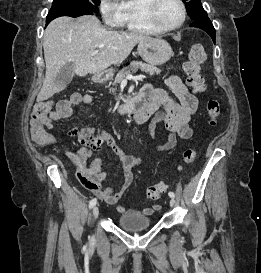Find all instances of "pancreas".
<instances>
[{
  "instance_id": "1",
  "label": "pancreas",
  "mask_w": 261,
  "mask_h": 273,
  "mask_svg": "<svg viewBox=\"0 0 261 273\" xmlns=\"http://www.w3.org/2000/svg\"><path fill=\"white\" fill-rule=\"evenodd\" d=\"M138 69H140L141 71L145 72V73H149L150 75H155V74H160L161 70L157 67H155L154 65L151 64H147V63H143L140 61H132L130 63V65L124 67L123 69H121L115 79H114V83L113 85H117L118 83H120L128 74L134 73L136 72ZM112 93H115L116 88H112L111 89ZM118 99V98H116Z\"/></svg>"
}]
</instances>
